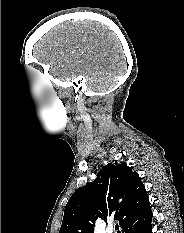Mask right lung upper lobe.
I'll use <instances>...</instances> for the list:
<instances>
[{
  "instance_id": "right-lung-upper-lobe-1",
  "label": "right lung upper lobe",
  "mask_w": 184,
  "mask_h": 233,
  "mask_svg": "<svg viewBox=\"0 0 184 233\" xmlns=\"http://www.w3.org/2000/svg\"><path fill=\"white\" fill-rule=\"evenodd\" d=\"M149 198L136 171L126 163H109L96 179L78 188L64 209L59 233H93L97 217L114 215L121 228L149 207Z\"/></svg>"
}]
</instances>
